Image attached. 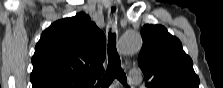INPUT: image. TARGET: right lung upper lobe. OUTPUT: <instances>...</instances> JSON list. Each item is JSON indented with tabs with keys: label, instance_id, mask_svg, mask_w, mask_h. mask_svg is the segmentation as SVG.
Segmentation results:
<instances>
[{
	"label": "right lung upper lobe",
	"instance_id": "obj_1",
	"mask_svg": "<svg viewBox=\"0 0 223 88\" xmlns=\"http://www.w3.org/2000/svg\"><path fill=\"white\" fill-rule=\"evenodd\" d=\"M105 57V35L88 15L58 20L35 47L32 88H93Z\"/></svg>",
	"mask_w": 223,
	"mask_h": 88
}]
</instances>
